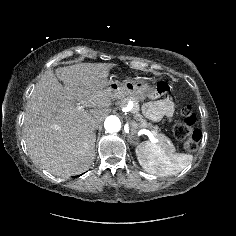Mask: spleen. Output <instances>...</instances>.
<instances>
[{"label": "spleen", "mask_w": 236, "mask_h": 236, "mask_svg": "<svg viewBox=\"0 0 236 236\" xmlns=\"http://www.w3.org/2000/svg\"><path fill=\"white\" fill-rule=\"evenodd\" d=\"M139 164L149 173L159 176H172L188 166L193 156L183 153H170L160 146L146 141L136 148Z\"/></svg>", "instance_id": "spleen-1"}]
</instances>
